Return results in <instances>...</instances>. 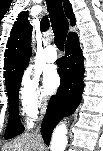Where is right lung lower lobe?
I'll return each mask as SVG.
<instances>
[{
    "label": "right lung lower lobe",
    "instance_id": "1",
    "mask_svg": "<svg viewBox=\"0 0 103 151\" xmlns=\"http://www.w3.org/2000/svg\"><path fill=\"white\" fill-rule=\"evenodd\" d=\"M66 57L58 69L61 84L48 103L42 122L41 133L48 145L54 127L65 115L72 114L79 105L84 88V58L77 34L68 36L65 45Z\"/></svg>",
    "mask_w": 103,
    "mask_h": 151
}]
</instances>
